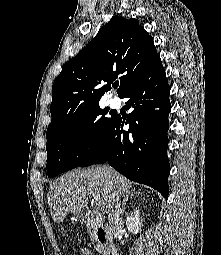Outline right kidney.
<instances>
[{
  "instance_id": "right-kidney-1",
  "label": "right kidney",
  "mask_w": 221,
  "mask_h": 255,
  "mask_svg": "<svg viewBox=\"0 0 221 255\" xmlns=\"http://www.w3.org/2000/svg\"><path fill=\"white\" fill-rule=\"evenodd\" d=\"M142 222L143 219L140 218V210L136 209L127 216L126 227L130 232L138 234L141 232V227L143 226Z\"/></svg>"
}]
</instances>
